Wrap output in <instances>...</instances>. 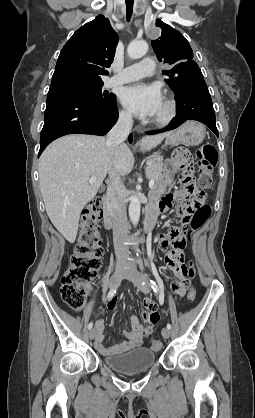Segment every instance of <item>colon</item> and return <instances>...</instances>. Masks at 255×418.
Wrapping results in <instances>:
<instances>
[{"mask_svg": "<svg viewBox=\"0 0 255 418\" xmlns=\"http://www.w3.org/2000/svg\"><path fill=\"white\" fill-rule=\"evenodd\" d=\"M198 165V183L203 189L212 185V171L217 164L218 154L211 144H203L196 150ZM184 173L190 172V165L184 169ZM103 200L100 197L91 200L83 209L80 221V233L70 256L68 267L61 278V296L64 302L73 310L83 309L87 296V285L97 276L101 267L103 248L99 240V220L102 216ZM184 223L181 227L187 228L189 233L202 227L211 215V208L206 203L204 192L198 191L193 199L183 209ZM190 238V235H187ZM186 242V237H184ZM192 243L191 239L187 240ZM186 264V263H185ZM188 274L191 277L187 299L192 302L196 297L193 287L195 270L192 262L186 264ZM162 344L160 340H151L150 347L159 350Z\"/></svg>", "mask_w": 255, "mask_h": 418, "instance_id": "5ec220e1", "label": "colon"}]
</instances>
